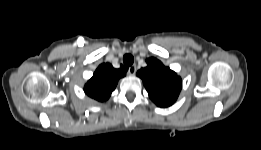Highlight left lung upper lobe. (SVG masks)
Segmentation results:
<instances>
[{"label":"left lung upper lobe","mask_w":261,"mask_h":150,"mask_svg":"<svg viewBox=\"0 0 261 150\" xmlns=\"http://www.w3.org/2000/svg\"><path fill=\"white\" fill-rule=\"evenodd\" d=\"M146 62L147 67L139 70L137 76L143 80L150 99L159 107L171 106L181 91V78L156 58Z\"/></svg>","instance_id":"5c2ea615"}]
</instances>
